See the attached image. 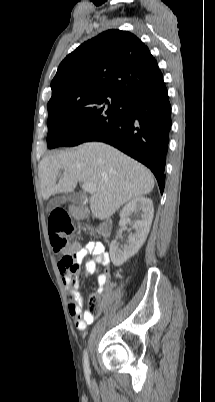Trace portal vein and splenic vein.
Masks as SVG:
<instances>
[{
	"mask_svg": "<svg viewBox=\"0 0 215 402\" xmlns=\"http://www.w3.org/2000/svg\"><path fill=\"white\" fill-rule=\"evenodd\" d=\"M83 190H84L85 192H88V193L93 194V193L95 192V187H94V185L91 184V183H84V185H83Z\"/></svg>",
	"mask_w": 215,
	"mask_h": 402,
	"instance_id": "18ae733b",
	"label": "portal vein and splenic vein"
}]
</instances>
